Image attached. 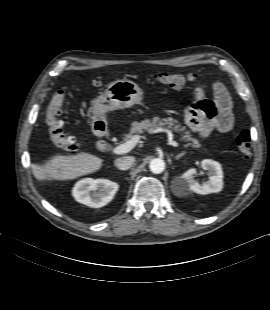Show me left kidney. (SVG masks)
I'll use <instances>...</instances> for the list:
<instances>
[{
    "label": "left kidney",
    "mask_w": 270,
    "mask_h": 310,
    "mask_svg": "<svg viewBox=\"0 0 270 310\" xmlns=\"http://www.w3.org/2000/svg\"><path fill=\"white\" fill-rule=\"evenodd\" d=\"M201 168L207 171L209 181L202 185L199 184L198 181L195 180L197 171L195 168H191L181 176V183L184 189L201 195L220 192L224 185L223 172L220 163L211 159H204L201 161Z\"/></svg>",
    "instance_id": "obj_1"
}]
</instances>
